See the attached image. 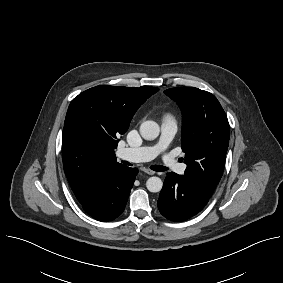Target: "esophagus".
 I'll list each match as a JSON object with an SVG mask.
<instances>
[{"mask_svg":"<svg viewBox=\"0 0 283 283\" xmlns=\"http://www.w3.org/2000/svg\"><path fill=\"white\" fill-rule=\"evenodd\" d=\"M142 171L147 173V174H149V175H154L155 174V172L153 170H150V169H147V168H143Z\"/></svg>","mask_w":283,"mask_h":283,"instance_id":"1","label":"esophagus"}]
</instances>
